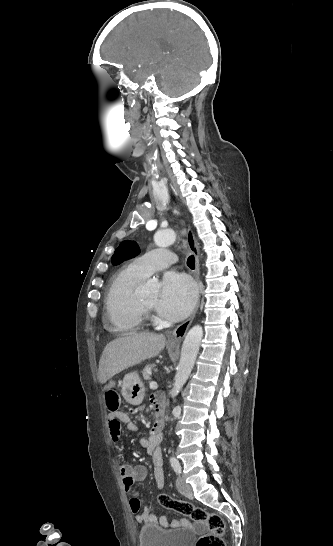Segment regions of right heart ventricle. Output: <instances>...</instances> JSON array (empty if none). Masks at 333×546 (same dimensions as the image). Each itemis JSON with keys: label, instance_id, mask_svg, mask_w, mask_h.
<instances>
[{"label": "right heart ventricle", "instance_id": "1", "mask_svg": "<svg viewBox=\"0 0 333 546\" xmlns=\"http://www.w3.org/2000/svg\"><path fill=\"white\" fill-rule=\"evenodd\" d=\"M144 279L131 265L113 276L105 298L106 323L111 330L131 333L143 329L145 314L136 289Z\"/></svg>", "mask_w": 333, "mask_h": 546}]
</instances>
